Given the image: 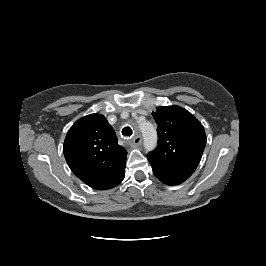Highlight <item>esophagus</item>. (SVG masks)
<instances>
[{"mask_svg":"<svg viewBox=\"0 0 266 266\" xmlns=\"http://www.w3.org/2000/svg\"><path fill=\"white\" fill-rule=\"evenodd\" d=\"M142 143V138L140 136H135L132 139V144L133 145H140Z\"/></svg>","mask_w":266,"mask_h":266,"instance_id":"34e87169","label":"esophagus"}]
</instances>
